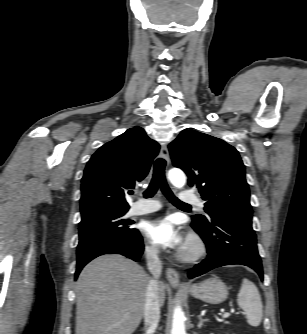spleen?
Listing matches in <instances>:
<instances>
[{"label": "spleen", "mask_w": 307, "mask_h": 334, "mask_svg": "<svg viewBox=\"0 0 307 334\" xmlns=\"http://www.w3.org/2000/svg\"><path fill=\"white\" fill-rule=\"evenodd\" d=\"M237 303L244 310L249 325L259 326L263 316L261 296L255 284L246 278L242 281Z\"/></svg>", "instance_id": "3e777b00"}]
</instances>
